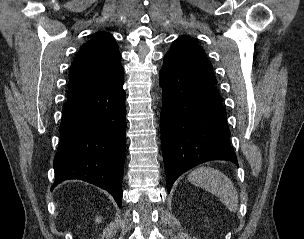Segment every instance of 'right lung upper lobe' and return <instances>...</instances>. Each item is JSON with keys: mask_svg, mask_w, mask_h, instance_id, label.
I'll use <instances>...</instances> for the list:
<instances>
[{"mask_svg": "<svg viewBox=\"0 0 304 239\" xmlns=\"http://www.w3.org/2000/svg\"><path fill=\"white\" fill-rule=\"evenodd\" d=\"M118 45L102 32L85 43L72 63L68 101L80 98L107 84L124 70Z\"/></svg>", "mask_w": 304, "mask_h": 239, "instance_id": "obj_1", "label": "right lung upper lobe"}]
</instances>
